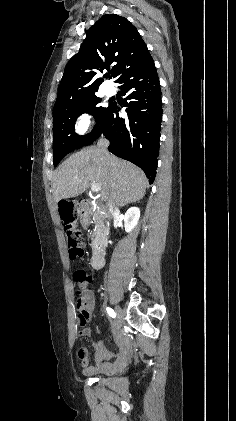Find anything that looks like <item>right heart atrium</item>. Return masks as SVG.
Here are the masks:
<instances>
[{
	"mask_svg": "<svg viewBox=\"0 0 236 421\" xmlns=\"http://www.w3.org/2000/svg\"><path fill=\"white\" fill-rule=\"evenodd\" d=\"M91 126V115L89 113H82L75 121L74 130L78 135H85L91 129Z\"/></svg>",
	"mask_w": 236,
	"mask_h": 421,
	"instance_id": "right-heart-atrium-1",
	"label": "right heart atrium"
}]
</instances>
